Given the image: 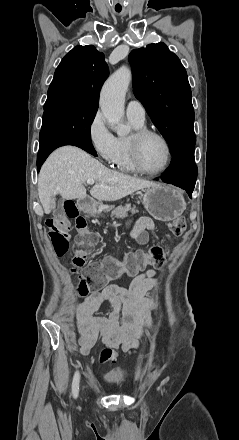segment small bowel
Returning <instances> with one entry per match:
<instances>
[{
    "label": "small bowel",
    "mask_w": 239,
    "mask_h": 440,
    "mask_svg": "<svg viewBox=\"0 0 239 440\" xmlns=\"http://www.w3.org/2000/svg\"><path fill=\"white\" fill-rule=\"evenodd\" d=\"M153 233L152 220L143 217L137 221L132 236L140 244H145ZM156 284V271L149 269L136 276L128 289L112 284L102 291L86 294L85 299L76 306L80 352L88 354L99 340L110 348L122 349L126 353L134 352L139 346L140 338L153 329L151 312L157 303L154 299L145 297V294ZM105 301L112 307L109 316H94ZM116 358L117 354H114L112 360Z\"/></svg>",
    "instance_id": "c3829d8e"
}]
</instances>
